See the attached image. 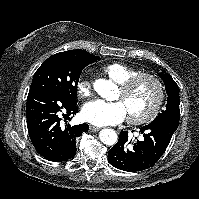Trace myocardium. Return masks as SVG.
<instances>
[{"label": "myocardium", "instance_id": "1", "mask_svg": "<svg viewBox=\"0 0 199 199\" xmlns=\"http://www.w3.org/2000/svg\"><path fill=\"white\" fill-rule=\"evenodd\" d=\"M145 80L150 81L153 84L155 88V97L147 112L138 116L128 115V122L133 125L145 124L153 120L159 113L165 98V90L162 81L159 77L151 73H138L128 78L120 83V90L123 93H127Z\"/></svg>", "mask_w": 199, "mask_h": 199}]
</instances>
